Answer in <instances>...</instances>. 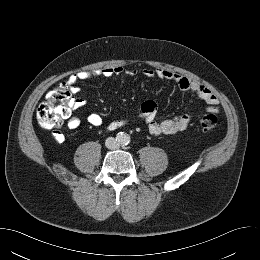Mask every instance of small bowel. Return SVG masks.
Instances as JSON below:
<instances>
[{
	"label": "small bowel",
	"mask_w": 260,
	"mask_h": 260,
	"mask_svg": "<svg viewBox=\"0 0 260 260\" xmlns=\"http://www.w3.org/2000/svg\"><path fill=\"white\" fill-rule=\"evenodd\" d=\"M123 73L134 77L138 74V71L134 68L125 70L121 66H110L91 71L76 72L70 76L69 80L73 85L74 90H77V83L79 81L97 77L110 78L113 76L121 75ZM142 75L148 79L160 78L173 81L180 91H191L195 93L207 105V111L215 112L218 110L219 100L217 96L207 86L199 81H196L184 75L173 73L167 69L144 68L142 70ZM81 106L82 100L74 99L72 101L69 112L65 117L68 128L76 129L80 126L81 120L77 115L74 114V112L78 110ZM156 113V104L151 100H147L141 104L140 109L133 120L144 121L147 124L151 134L155 136H161L174 134L186 129L193 118L192 114L186 113L173 118L157 121ZM87 119L88 122L93 126H100L102 124V118L97 113H90ZM130 121V119L113 120L108 123L107 129L110 131H114L128 124ZM54 136L58 142H62L64 140V136L61 132H57Z\"/></svg>",
	"instance_id": "small-bowel-1"
}]
</instances>
